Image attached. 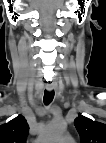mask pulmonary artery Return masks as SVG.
Returning a JSON list of instances; mask_svg holds the SVG:
<instances>
[{"label": "pulmonary artery", "mask_w": 106, "mask_h": 143, "mask_svg": "<svg viewBox=\"0 0 106 143\" xmlns=\"http://www.w3.org/2000/svg\"><path fill=\"white\" fill-rule=\"evenodd\" d=\"M64 139H66V140H70V138H68V137H65Z\"/></svg>", "instance_id": "obj_1"}]
</instances>
